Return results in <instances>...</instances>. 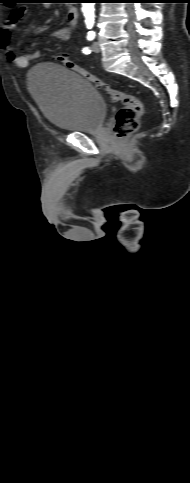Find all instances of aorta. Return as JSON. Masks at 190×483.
Returning a JSON list of instances; mask_svg holds the SVG:
<instances>
[{
  "mask_svg": "<svg viewBox=\"0 0 190 483\" xmlns=\"http://www.w3.org/2000/svg\"><path fill=\"white\" fill-rule=\"evenodd\" d=\"M94 3H82V12L87 21L94 20Z\"/></svg>",
  "mask_w": 190,
  "mask_h": 483,
  "instance_id": "1",
  "label": "aorta"
}]
</instances>
